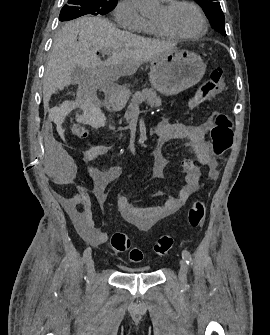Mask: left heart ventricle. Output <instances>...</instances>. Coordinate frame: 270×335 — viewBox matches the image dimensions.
<instances>
[{"label": "left heart ventricle", "mask_w": 270, "mask_h": 335, "mask_svg": "<svg viewBox=\"0 0 270 335\" xmlns=\"http://www.w3.org/2000/svg\"><path fill=\"white\" fill-rule=\"evenodd\" d=\"M167 29L181 34H191L200 30L201 21L196 11L189 5H179L169 12L163 5L152 19Z\"/></svg>", "instance_id": "obj_1"}]
</instances>
